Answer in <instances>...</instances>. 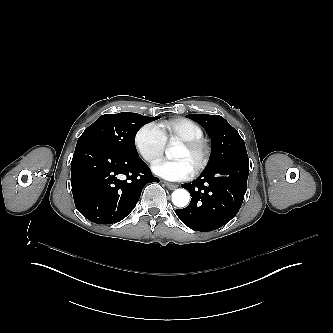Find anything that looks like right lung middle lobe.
Masks as SVG:
<instances>
[{
    "instance_id": "dd1d6c3e",
    "label": "right lung middle lobe",
    "mask_w": 333,
    "mask_h": 333,
    "mask_svg": "<svg viewBox=\"0 0 333 333\" xmlns=\"http://www.w3.org/2000/svg\"><path fill=\"white\" fill-rule=\"evenodd\" d=\"M159 118L129 112L102 115L82 133L77 143L98 142L117 154L139 157L135 147L136 133L143 125Z\"/></svg>"
}]
</instances>
